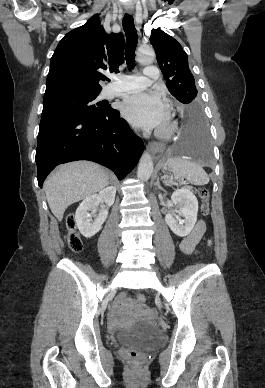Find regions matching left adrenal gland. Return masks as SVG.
Masks as SVG:
<instances>
[{"mask_svg":"<svg viewBox=\"0 0 265 388\" xmlns=\"http://www.w3.org/2000/svg\"><path fill=\"white\" fill-rule=\"evenodd\" d=\"M155 186H158V188H161L160 182H159V178H156V184H155Z\"/></svg>","mask_w":265,"mask_h":388,"instance_id":"obj_1","label":"left adrenal gland"}]
</instances>
